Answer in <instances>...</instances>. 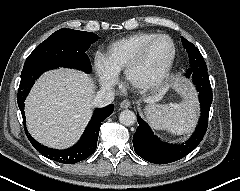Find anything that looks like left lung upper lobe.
<instances>
[{
	"label": "left lung upper lobe",
	"instance_id": "5c2ea615",
	"mask_svg": "<svg viewBox=\"0 0 240 191\" xmlns=\"http://www.w3.org/2000/svg\"><path fill=\"white\" fill-rule=\"evenodd\" d=\"M181 41L190 58L189 71H191L192 73L207 72L206 63L199 49L183 37H181Z\"/></svg>",
	"mask_w": 240,
	"mask_h": 191
}]
</instances>
